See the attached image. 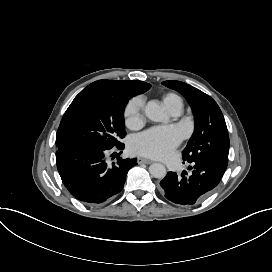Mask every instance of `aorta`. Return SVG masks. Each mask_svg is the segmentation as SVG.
I'll return each instance as SVG.
<instances>
[{
  "instance_id": "1",
  "label": "aorta",
  "mask_w": 272,
  "mask_h": 272,
  "mask_svg": "<svg viewBox=\"0 0 272 272\" xmlns=\"http://www.w3.org/2000/svg\"><path fill=\"white\" fill-rule=\"evenodd\" d=\"M144 113L147 118L155 122L163 121L165 119V113L156 99L149 100L146 103ZM149 172L157 179H163L167 173L165 166L160 163L151 164L149 166Z\"/></svg>"
}]
</instances>
